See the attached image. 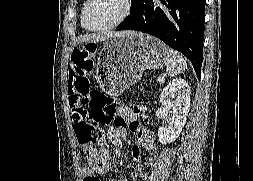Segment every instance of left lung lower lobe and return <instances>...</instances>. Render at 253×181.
Segmentation results:
<instances>
[{
    "label": "left lung lower lobe",
    "mask_w": 253,
    "mask_h": 181,
    "mask_svg": "<svg viewBox=\"0 0 253 181\" xmlns=\"http://www.w3.org/2000/svg\"><path fill=\"white\" fill-rule=\"evenodd\" d=\"M206 0H138L116 30L153 35L183 53L201 76Z\"/></svg>",
    "instance_id": "0a47b994"
}]
</instances>
